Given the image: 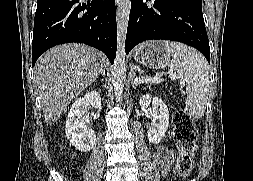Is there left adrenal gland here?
I'll return each instance as SVG.
<instances>
[{
    "mask_svg": "<svg viewBox=\"0 0 253 181\" xmlns=\"http://www.w3.org/2000/svg\"><path fill=\"white\" fill-rule=\"evenodd\" d=\"M133 70V69H132ZM132 87L135 89V85H134V83H132Z\"/></svg>",
    "mask_w": 253,
    "mask_h": 181,
    "instance_id": "a2214340",
    "label": "left adrenal gland"
}]
</instances>
